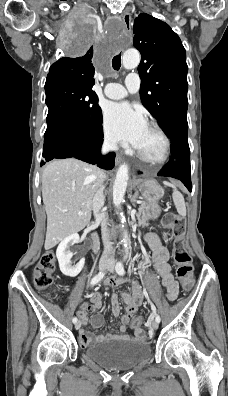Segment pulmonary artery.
<instances>
[{
    "label": "pulmonary artery",
    "instance_id": "pulmonary-artery-1",
    "mask_svg": "<svg viewBox=\"0 0 228 396\" xmlns=\"http://www.w3.org/2000/svg\"><path fill=\"white\" fill-rule=\"evenodd\" d=\"M140 80L136 73L129 74L125 79V86L119 83H108L105 86L104 94L110 99H122L129 93H135L139 90Z\"/></svg>",
    "mask_w": 228,
    "mask_h": 396
}]
</instances>
